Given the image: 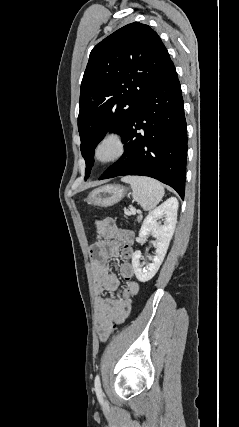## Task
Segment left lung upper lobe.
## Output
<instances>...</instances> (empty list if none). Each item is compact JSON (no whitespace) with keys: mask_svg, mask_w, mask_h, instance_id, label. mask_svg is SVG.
Here are the masks:
<instances>
[{"mask_svg":"<svg viewBox=\"0 0 239 427\" xmlns=\"http://www.w3.org/2000/svg\"><path fill=\"white\" fill-rule=\"evenodd\" d=\"M173 66L158 34L139 22L118 29L93 48L81 83L78 116L85 179L104 134L123 136L140 100Z\"/></svg>","mask_w":239,"mask_h":427,"instance_id":"obj_1","label":"left lung upper lobe"}]
</instances>
